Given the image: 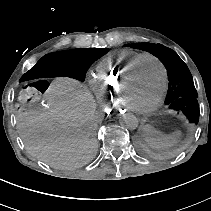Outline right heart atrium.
Wrapping results in <instances>:
<instances>
[{"label": "right heart atrium", "instance_id": "right-heart-atrium-1", "mask_svg": "<svg viewBox=\"0 0 211 211\" xmlns=\"http://www.w3.org/2000/svg\"><path fill=\"white\" fill-rule=\"evenodd\" d=\"M92 87H93V89H94V91H95L97 97L101 100V97H100V95H99V93H98V89H97V87H96L95 82H92Z\"/></svg>", "mask_w": 211, "mask_h": 211}]
</instances>
